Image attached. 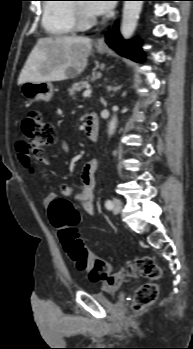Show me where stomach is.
Masks as SVG:
<instances>
[{
    "label": "stomach",
    "instance_id": "stomach-1",
    "mask_svg": "<svg viewBox=\"0 0 193 349\" xmlns=\"http://www.w3.org/2000/svg\"><path fill=\"white\" fill-rule=\"evenodd\" d=\"M99 53L106 52L104 48L97 49ZM21 93L29 102L46 101L48 102L53 95V85L50 82H32L27 81L20 86Z\"/></svg>",
    "mask_w": 193,
    "mask_h": 349
}]
</instances>
